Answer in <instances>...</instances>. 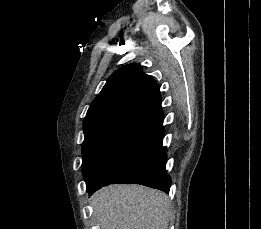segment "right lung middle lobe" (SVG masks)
I'll use <instances>...</instances> for the list:
<instances>
[{"instance_id": "dd1d6c3e", "label": "right lung middle lobe", "mask_w": 261, "mask_h": 229, "mask_svg": "<svg viewBox=\"0 0 261 229\" xmlns=\"http://www.w3.org/2000/svg\"><path fill=\"white\" fill-rule=\"evenodd\" d=\"M155 130H138L133 135L134 144L130 148H109L99 146H82V172L87 185L91 187L96 179L116 160L128 154L146 139L151 137Z\"/></svg>"}]
</instances>
